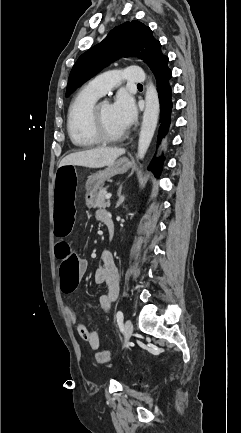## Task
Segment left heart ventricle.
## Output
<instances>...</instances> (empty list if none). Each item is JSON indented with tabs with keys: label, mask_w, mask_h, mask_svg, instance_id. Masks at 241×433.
<instances>
[{
	"label": "left heart ventricle",
	"mask_w": 241,
	"mask_h": 433,
	"mask_svg": "<svg viewBox=\"0 0 241 433\" xmlns=\"http://www.w3.org/2000/svg\"><path fill=\"white\" fill-rule=\"evenodd\" d=\"M100 114L102 125L106 133L112 136H116L125 131L115 117L112 106L110 104H103L100 109Z\"/></svg>",
	"instance_id": "b2bd125f"
}]
</instances>
